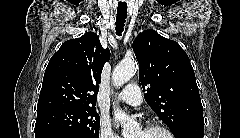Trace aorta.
<instances>
[{
  "mask_svg": "<svg viewBox=\"0 0 240 138\" xmlns=\"http://www.w3.org/2000/svg\"><path fill=\"white\" fill-rule=\"evenodd\" d=\"M136 70L137 63L135 61H122L113 70V84L116 87L122 86L124 83L128 82L132 78ZM114 117L123 126V136L125 138H129L131 136V132L136 127V122L118 108L114 111Z\"/></svg>",
  "mask_w": 240,
  "mask_h": 138,
  "instance_id": "aorta-1",
  "label": "aorta"
}]
</instances>
